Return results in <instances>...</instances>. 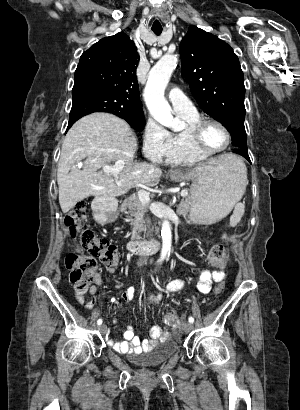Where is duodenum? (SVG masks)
<instances>
[{"instance_id":"1","label":"duodenum","mask_w":300,"mask_h":410,"mask_svg":"<svg viewBox=\"0 0 300 410\" xmlns=\"http://www.w3.org/2000/svg\"><path fill=\"white\" fill-rule=\"evenodd\" d=\"M113 200L100 198L93 202V214L99 223L108 221V215L112 212ZM158 243L154 240H130L127 249L132 253L150 255L157 251Z\"/></svg>"}]
</instances>
